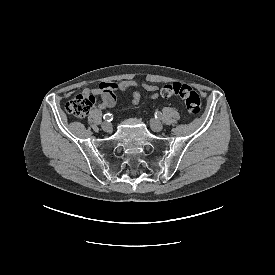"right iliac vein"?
Segmentation results:
<instances>
[{"label": "right iliac vein", "mask_w": 275, "mask_h": 275, "mask_svg": "<svg viewBox=\"0 0 275 275\" xmlns=\"http://www.w3.org/2000/svg\"><path fill=\"white\" fill-rule=\"evenodd\" d=\"M101 126L106 132H110L112 130V124L110 122H103Z\"/></svg>", "instance_id": "right-iliac-vein-1"}]
</instances>
